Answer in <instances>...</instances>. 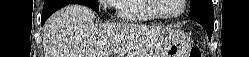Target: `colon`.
I'll list each match as a JSON object with an SVG mask.
<instances>
[{
  "instance_id": "obj_1",
  "label": "colon",
  "mask_w": 249,
  "mask_h": 57,
  "mask_svg": "<svg viewBox=\"0 0 249 57\" xmlns=\"http://www.w3.org/2000/svg\"><path fill=\"white\" fill-rule=\"evenodd\" d=\"M189 57H203V52L199 47H192L189 52Z\"/></svg>"
}]
</instances>
